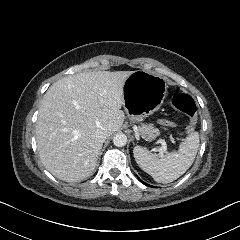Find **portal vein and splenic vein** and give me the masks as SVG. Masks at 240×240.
<instances>
[{
    "label": "portal vein and splenic vein",
    "instance_id": "portal-vein-and-splenic-vein-1",
    "mask_svg": "<svg viewBox=\"0 0 240 240\" xmlns=\"http://www.w3.org/2000/svg\"><path fill=\"white\" fill-rule=\"evenodd\" d=\"M158 143L161 144V147L159 149V154L163 156V154L167 151V143L164 139L158 140Z\"/></svg>",
    "mask_w": 240,
    "mask_h": 240
}]
</instances>
